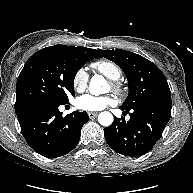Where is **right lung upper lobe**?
I'll use <instances>...</instances> for the list:
<instances>
[{
  "label": "right lung upper lobe",
  "instance_id": "cb5924a9",
  "mask_svg": "<svg viewBox=\"0 0 193 193\" xmlns=\"http://www.w3.org/2000/svg\"><path fill=\"white\" fill-rule=\"evenodd\" d=\"M39 51L40 52H46V51L67 52V53H73L81 56L91 57L92 59L101 57L100 52L95 49H90L85 47H71L66 45L50 46V47L43 48Z\"/></svg>",
  "mask_w": 193,
  "mask_h": 193
}]
</instances>
